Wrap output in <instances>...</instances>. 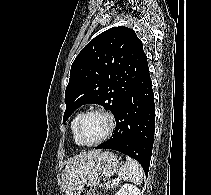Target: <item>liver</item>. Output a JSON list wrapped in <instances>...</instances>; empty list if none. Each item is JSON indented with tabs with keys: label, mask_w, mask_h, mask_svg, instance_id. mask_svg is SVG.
Segmentation results:
<instances>
[{
	"label": "liver",
	"mask_w": 211,
	"mask_h": 195,
	"mask_svg": "<svg viewBox=\"0 0 211 195\" xmlns=\"http://www.w3.org/2000/svg\"><path fill=\"white\" fill-rule=\"evenodd\" d=\"M99 154L100 151L94 150L68 161L62 178L65 195H81L87 182L92 161Z\"/></svg>",
	"instance_id": "6515ba94"
}]
</instances>
